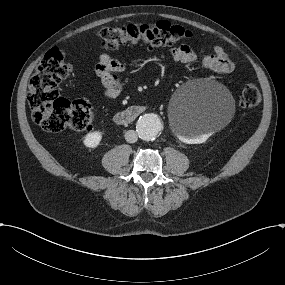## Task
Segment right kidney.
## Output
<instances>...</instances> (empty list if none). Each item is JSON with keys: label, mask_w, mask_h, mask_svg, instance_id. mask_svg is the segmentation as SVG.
I'll return each mask as SVG.
<instances>
[{"label": "right kidney", "mask_w": 285, "mask_h": 285, "mask_svg": "<svg viewBox=\"0 0 285 285\" xmlns=\"http://www.w3.org/2000/svg\"><path fill=\"white\" fill-rule=\"evenodd\" d=\"M103 133L100 130L87 132L82 139V145L87 148H96L100 145Z\"/></svg>", "instance_id": "ca27d5eb"}]
</instances>
